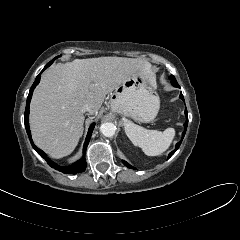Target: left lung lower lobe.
Listing matches in <instances>:
<instances>
[{"label":"left lung lower lobe","instance_id":"0a47b994","mask_svg":"<svg viewBox=\"0 0 240 240\" xmlns=\"http://www.w3.org/2000/svg\"><path fill=\"white\" fill-rule=\"evenodd\" d=\"M169 78L171 79V83H172V85H173L174 87H179V85H178V83H177V81H176V79H175V77H174L173 75H171ZM180 98L184 101V98H183L182 93L180 94ZM185 115H186V122L184 123V132L182 133V140H183V137H184V135H185V132H186V129H187V124H188L187 109H185ZM182 140L176 144L175 149L169 154L168 158L171 157V156L178 150V148H179ZM123 164H124L125 166H127L128 168H132V166L129 165V164H128L126 161H124V160H123Z\"/></svg>","mask_w":240,"mask_h":240}]
</instances>
